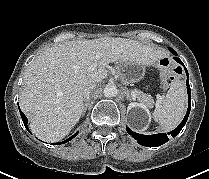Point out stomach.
<instances>
[{"instance_id":"obj_1","label":"stomach","mask_w":209,"mask_h":179,"mask_svg":"<svg viewBox=\"0 0 209 179\" xmlns=\"http://www.w3.org/2000/svg\"><path fill=\"white\" fill-rule=\"evenodd\" d=\"M120 68V80L124 85L140 81L145 75V67L135 62L122 63Z\"/></svg>"}]
</instances>
